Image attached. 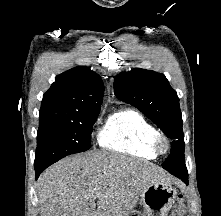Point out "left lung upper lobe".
<instances>
[{"label":"left lung upper lobe","mask_w":221,"mask_h":216,"mask_svg":"<svg viewBox=\"0 0 221 216\" xmlns=\"http://www.w3.org/2000/svg\"><path fill=\"white\" fill-rule=\"evenodd\" d=\"M118 99L138 108L170 138L171 153L162 167L173 173L179 169L178 156H184V135L179 99L165 75L134 68L120 73L114 80Z\"/></svg>","instance_id":"5c2ea615"}]
</instances>
